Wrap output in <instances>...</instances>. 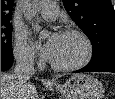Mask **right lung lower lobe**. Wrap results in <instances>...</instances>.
<instances>
[{
	"label": "right lung lower lobe",
	"mask_w": 115,
	"mask_h": 99,
	"mask_svg": "<svg viewBox=\"0 0 115 99\" xmlns=\"http://www.w3.org/2000/svg\"><path fill=\"white\" fill-rule=\"evenodd\" d=\"M13 63V56L1 57V71H7Z\"/></svg>",
	"instance_id": "98d812e1"
}]
</instances>
